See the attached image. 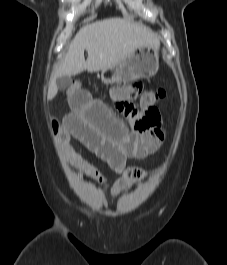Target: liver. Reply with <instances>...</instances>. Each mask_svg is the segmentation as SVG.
<instances>
[{
    "mask_svg": "<svg viewBox=\"0 0 227 265\" xmlns=\"http://www.w3.org/2000/svg\"><path fill=\"white\" fill-rule=\"evenodd\" d=\"M159 44L156 34L147 28L114 17L96 21L82 27L68 47L67 53L51 76L48 88L49 100L58 91L56 79L88 72H97L121 63L136 48ZM84 50L88 52L85 60Z\"/></svg>",
    "mask_w": 227,
    "mask_h": 265,
    "instance_id": "1",
    "label": "liver"
}]
</instances>
